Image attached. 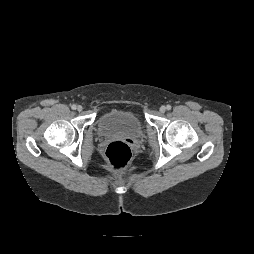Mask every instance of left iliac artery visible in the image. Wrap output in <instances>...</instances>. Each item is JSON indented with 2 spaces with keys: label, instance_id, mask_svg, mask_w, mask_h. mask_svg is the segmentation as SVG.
<instances>
[{
  "label": "left iliac artery",
  "instance_id": "44dca946",
  "mask_svg": "<svg viewBox=\"0 0 254 254\" xmlns=\"http://www.w3.org/2000/svg\"><path fill=\"white\" fill-rule=\"evenodd\" d=\"M166 109H167V110H171V105H167V106H166Z\"/></svg>",
  "mask_w": 254,
  "mask_h": 254
}]
</instances>
